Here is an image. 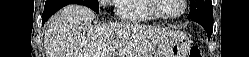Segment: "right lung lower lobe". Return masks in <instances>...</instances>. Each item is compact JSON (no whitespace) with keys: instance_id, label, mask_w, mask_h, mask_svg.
I'll use <instances>...</instances> for the list:
<instances>
[{"instance_id":"98d812e1","label":"right lung lower lobe","mask_w":249,"mask_h":57,"mask_svg":"<svg viewBox=\"0 0 249 57\" xmlns=\"http://www.w3.org/2000/svg\"><path fill=\"white\" fill-rule=\"evenodd\" d=\"M68 4H79L73 1L65 0H48L45 3L44 12L42 15V25L51 17L57 10L68 5Z\"/></svg>"}]
</instances>
